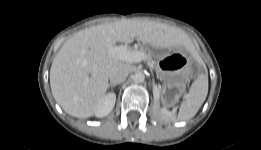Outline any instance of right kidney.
I'll return each instance as SVG.
<instances>
[{"instance_id":"right-kidney-1","label":"right kidney","mask_w":261,"mask_h":150,"mask_svg":"<svg viewBox=\"0 0 261 150\" xmlns=\"http://www.w3.org/2000/svg\"><path fill=\"white\" fill-rule=\"evenodd\" d=\"M116 102L115 93H108L97 105L95 115L99 118L108 115L114 108Z\"/></svg>"}]
</instances>
